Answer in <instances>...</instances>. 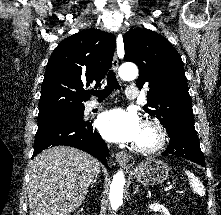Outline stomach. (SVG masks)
<instances>
[{
  "label": "stomach",
  "mask_w": 221,
  "mask_h": 215,
  "mask_svg": "<svg viewBox=\"0 0 221 215\" xmlns=\"http://www.w3.org/2000/svg\"><path fill=\"white\" fill-rule=\"evenodd\" d=\"M169 168L160 160L150 159L135 169V178L145 186L163 183L168 176Z\"/></svg>",
  "instance_id": "0dacf381"
}]
</instances>
